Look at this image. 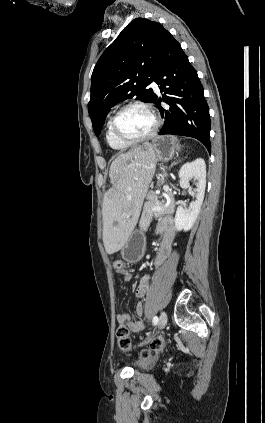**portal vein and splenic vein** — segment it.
I'll use <instances>...</instances> for the list:
<instances>
[{"label":"portal vein and splenic vein","mask_w":265,"mask_h":423,"mask_svg":"<svg viewBox=\"0 0 265 423\" xmlns=\"http://www.w3.org/2000/svg\"><path fill=\"white\" fill-rule=\"evenodd\" d=\"M163 190L165 191V193H168V192L170 191V188H169V186H168V185H164V186H163ZM168 202H169V201H167V203H166L165 205H162V206H155V207H153V208H152V212H158V211H161L162 209H164V208L168 205Z\"/></svg>","instance_id":"1"}]
</instances>
